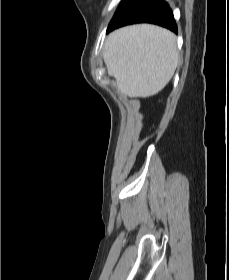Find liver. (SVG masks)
I'll return each instance as SVG.
<instances>
[{"label":"liver","mask_w":229,"mask_h":280,"mask_svg":"<svg viewBox=\"0 0 229 280\" xmlns=\"http://www.w3.org/2000/svg\"><path fill=\"white\" fill-rule=\"evenodd\" d=\"M103 58L119 92L130 98L150 97L174 75L178 64L176 36L150 24L123 27L107 37Z\"/></svg>","instance_id":"obj_1"}]
</instances>
